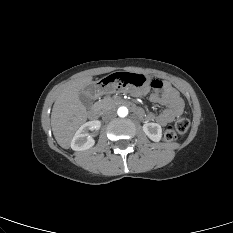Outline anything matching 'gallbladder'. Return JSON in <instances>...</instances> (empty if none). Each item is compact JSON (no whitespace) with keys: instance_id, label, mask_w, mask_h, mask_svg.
Here are the masks:
<instances>
[{"instance_id":"1","label":"gallbladder","mask_w":233,"mask_h":233,"mask_svg":"<svg viewBox=\"0 0 233 233\" xmlns=\"http://www.w3.org/2000/svg\"><path fill=\"white\" fill-rule=\"evenodd\" d=\"M79 99L86 108H91L93 104V100L91 99V97L86 95L84 92H80Z\"/></svg>"}]
</instances>
